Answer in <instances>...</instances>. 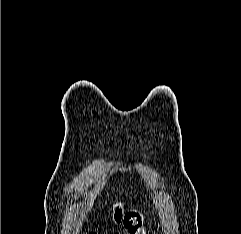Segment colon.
Returning a JSON list of instances; mask_svg holds the SVG:
<instances>
[{
	"instance_id": "colon-1",
	"label": "colon",
	"mask_w": 241,
	"mask_h": 234,
	"mask_svg": "<svg viewBox=\"0 0 241 234\" xmlns=\"http://www.w3.org/2000/svg\"><path fill=\"white\" fill-rule=\"evenodd\" d=\"M114 219L117 223H122L130 234H148L144 217L138 211L123 210L121 207H116Z\"/></svg>"
}]
</instances>
